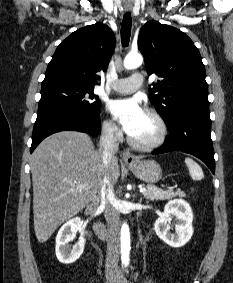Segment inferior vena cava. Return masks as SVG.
Listing matches in <instances>:
<instances>
[{
  "label": "inferior vena cava",
  "mask_w": 233,
  "mask_h": 283,
  "mask_svg": "<svg viewBox=\"0 0 233 283\" xmlns=\"http://www.w3.org/2000/svg\"><path fill=\"white\" fill-rule=\"evenodd\" d=\"M100 151L104 168H108L109 164L117 153L119 142L117 139V128L109 125L104 128L100 137ZM101 206L104 209V216L107 222V253L106 268L117 267L119 261L120 249V228H119V212L115 207L116 197L113 187L110 183L109 176H104L103 185L100 190Z\"/></svg>",
  "instance_id": "inferior-vena-cava-1"
}]
</instances>
